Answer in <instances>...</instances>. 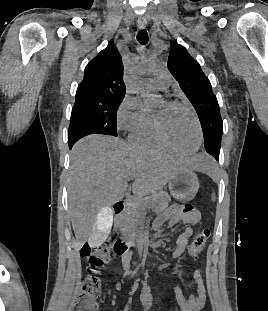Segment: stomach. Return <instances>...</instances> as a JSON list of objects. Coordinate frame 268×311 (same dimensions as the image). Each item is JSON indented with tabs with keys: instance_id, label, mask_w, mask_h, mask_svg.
<instances>
[{
	"instance_id": "0dacf381",
	"label": "stomach",
	"mask_w": 268,
	"mask_h": 311,
	"mask_svg": "<svg viewBox=\"0 0 268 311\" xmlns=\"http://www.w3.org/2000/svg\"><path fill=\"white\" fill-rule=\"evenodd\" d=\"M168 187L175 199L190 201L198 192V177L191 169L181 170L169 180Z\"/></svg>"
}]
</instances>
